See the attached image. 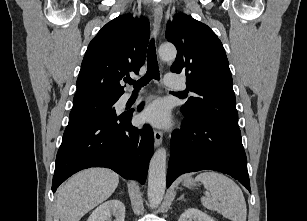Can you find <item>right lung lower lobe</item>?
I'll return each mask as SVG.
<instances>
[{
    "label": "right lung lower lobe",
    "instance_id": "1",
    "mask_svg": "<svg viewBox=\"0 0 307 221\" xmlns=\"http://www.w3.org/2000/svg\"><path fill=\"white\" fill-rule=\"evenodd\" d=\"M141 106L138 110H141ZM132 111L65 131L58 150L52 191L74 173L90 167H106L126 179L144 184L154 150L148 125H131Z\"/></svg>",
    "mask_w": 307,
    "mask_h": 221
}]
</instances>
